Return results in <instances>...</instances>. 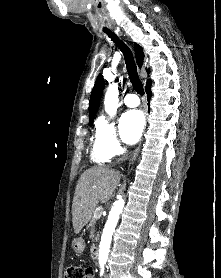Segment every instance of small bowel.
Listing matches in <instances>:
<instances>
[{"label": "small bowel", "mask_w": 221, "mask_h": 278, "mask_svg": "<svg viewBox=\"0 0 221 278\" xmlns=\"http://www.w3.org/2000/svg\"><path fill=\"white\" fill-rule=\"evenodd\" d=\"M85 278H94V270L91 267L86 269Z\"/></svg>", "instance_id": "1"}]
</instances>
